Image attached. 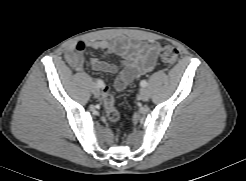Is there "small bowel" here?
Segmentation results:
<instances>
[{"instance_id": "small-bowel-1", "label": "small bowel", "mask_w": 246, "mask_h": 181, "mask_svg": "<svg viewBox=\"0 0 246 181\" xmlns=\"http://www.w3.org/2000/svg\"><path fill=\"white\" fill-rule=\"evenodd\" d=\"M87 48L101 50L105 55H117L121 58L119 66L97 58L91 59L90 65L96 71L117 73L115 86L118 90H122L136 76L154 69L159 44L156 42H135L124 37L114 42L76 40L69 46L66 60L77 72L83 71L84 52Z\"/></svg>"}]
</instances>
